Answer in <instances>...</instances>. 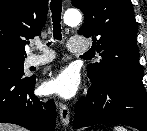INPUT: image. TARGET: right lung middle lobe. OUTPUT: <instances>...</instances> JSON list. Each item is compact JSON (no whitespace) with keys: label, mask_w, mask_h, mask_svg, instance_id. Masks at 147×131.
<instances>
[{"label":"right lung middle lobe","mask_w":147,"mask_h":131,"mask_svg":"<svg viewBox=\"0 0 147 131\" xmlns=\"http://www.w3.org/2000/svg\"><path fill=\"white\" fill-rule=\"evenodd\" d=\"M24 59L0 57V78L21 79L24 74Z\"/></svg>","instance_id":"1"}]
</instances>
